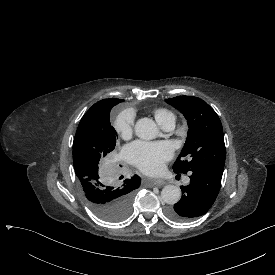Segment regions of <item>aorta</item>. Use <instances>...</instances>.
<instances>
[{"label": "aorta", "instance_id": "762f6f07", "mask_svg": "<svg viewBox=\"0 0 275 275\" xmlns=\"http://www.w3.org/2000/svg\"><path fill=\"white\" fill-rule=\"evenodd\" d=\"M135 134L143 140L155 139L160 133L156 123L150 118H141L135 124ZM161 198L167 204H175L181 198V190L174 185H166L161 191Z\"/></svg>", "mask_w": 275, "mask_h": 275}]
</instances>
